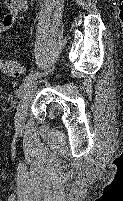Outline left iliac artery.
Instances as JSON below:
<instances>
[{
    "label": "left iliac artery",
    "mask_w": 123,
    "mask_h": 201,
    "mask_svg": "<svg viewBox=\"0 0 123 201\" xmlns=\"http://www.w3.org/2000/svg\"><path fill=\"white\" fill-rule=\"evenodd\" d=\"M41 75H43V73L34 72V73L29 74V76H27V78L24 80V82L20 85L18 96H21L24 93V91L27 89V87L34 80H36L38 76H41Z\"/></svg>",
    "instance_id": "obj_1"
}]
</instances>
